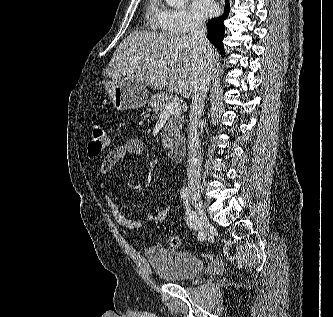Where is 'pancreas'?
<instances>
[{
	"label": "pancreas",
	"mask_w": 333,
	"mask_h": 317,
	"mask_svg": "<svg viewBox=\"0 0 333 317\" xmlns=\"http://www.w3.org/2000/svg\"><path fill=\"white\" fill-rule=\"evenodd\" d=\"M172 102V99L166 93H157L151 97L149 106L152 107L155 114L162 115L165 105ZM184 116L181 111L171 114L161 135L164 146L168 145L177 135L180 134Z\"/></svg>",
	"instance_id": "pancreas-1"
}]
</instances>
